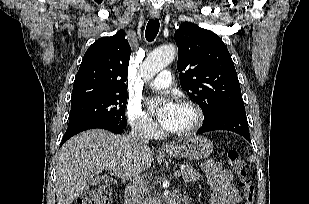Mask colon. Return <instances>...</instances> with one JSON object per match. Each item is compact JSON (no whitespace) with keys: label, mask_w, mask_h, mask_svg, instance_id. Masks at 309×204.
I'll return each mask as SVG.
<instances>
[{"label":"colon","mask_w":309,"mask_h":204,"mask_svg":"<svg viewBox=\"0 0 309 204\" xmlns=\"http://www.w3.org/2000/svg\"><path fill=\"white\" fill-rule=\"evenodd\" d=\"M227 156L229 164L235 171L239 184L244 192L245 204H254L255 187L248 178L244 162L239 152L235 149H230ZM112 194L113 189L110 186H100L81 196L77 204H109Z\"/></svg>","instance_id":"1"}]
</instances>
